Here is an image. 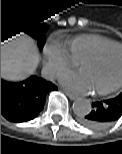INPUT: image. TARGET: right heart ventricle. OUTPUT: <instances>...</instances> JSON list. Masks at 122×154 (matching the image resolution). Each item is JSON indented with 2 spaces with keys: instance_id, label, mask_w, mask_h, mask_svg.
I'll return each mask as SVG.
<instances>
[{
  "instance_id": "right-heart-ventricle-1",
  "label": "right heart ventricle",
  "mask_w": 122,
  "mask_h": 154,
  "mask_svg": "<svg viewBox=\"0 0 122 154\" xmlns=\"http://www.w3.org/2000/svg\"><path fill=\"white\" fill-rule=\"evenodd\" d=\"M64 43L72 57L77 62H79L83 57L89 54L117 44L107 37L95 34H86L69 38Z\"/></svg>"
}]
</instances>
